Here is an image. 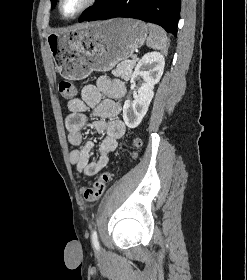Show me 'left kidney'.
Listing matches in <instances>:
<instances>
[{
  "label": "left kidney",
  "instance_id": "5707ae66",
  "mask_svg": "<svg viewBox=\"0 0 247 280\" xmlns=\"http://www.w3.org/2000/svg\"><path fill=\"white\" fill-rule=\"evenodd\" d=\"M164 66L165 58L159 52L146 53L138 62L131 77L134 101L127 100L123 106V120L127 127L135 128L141 123L154 96V86L163 74Z\"/></svg>",
  "mask_w": 247,
  "mask_h": 280
}]
</instances>
